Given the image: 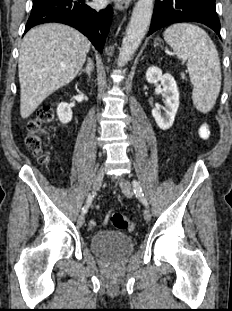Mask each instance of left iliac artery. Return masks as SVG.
<instances>
[{
	"label": "left iliac artery",
	"instance_id": "obj_1",
	"mask_svg": "<svg viewBox=\"0 0 232 311\" xmlns=\"http://www.w3.org/2000/svg\"><path fill=\"white\" fill-rule=\"evenodd\" d=\"M132 183H133L134 193L136 194V196L140 198L141 202L147 207L148 203H147L146 198L144 197L140 183L136 180H133Z\"/></svg>",
	"mask_w": 232,
	"mask_h": 311
}]
</instances>
